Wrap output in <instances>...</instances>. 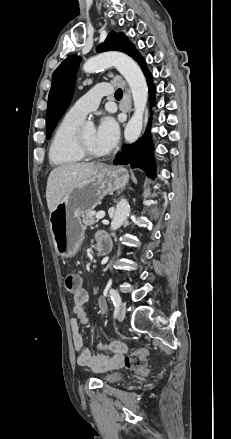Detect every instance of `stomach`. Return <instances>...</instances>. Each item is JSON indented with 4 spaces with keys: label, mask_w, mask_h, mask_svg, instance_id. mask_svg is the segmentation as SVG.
Returning <instances> with one entry per match:
<instances>
[{
    "label": "stomach",
    "mask_w": 231,
    "mask_h": 439,
    "mask_svg": "<svg viewBox=\"0 0 231 439\" xmlns=\"http://www.w3.org/2000/svg\"><path fill=\"white\" fill-rule=\"evenodd\" d=\"M128 173L122 167L105 166L91 178L79 182L50 213L49 222L56 252L75 256L84 238L81 217L93 210L104 196L122 189Z\"/></svg>",
    "instance_id": "stomach-1"
}]
</instances>
